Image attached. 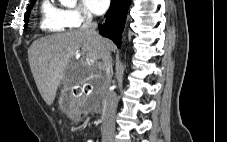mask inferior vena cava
<instances>
[{"mask_svg": "<svg viewBox=\"0 0 227 142\" xmlns=\"http://www.w3.org/2000/svg\"><path fill=\"white\" fill-rule=\"evenodd\" d=\"M97 23L92 21V15L89 12L85 13V22L81 27L86 34L101 39V36L96 31ZM103 64L99 67L103 71L104 77V90H105V104L103 111V129H102V142H113L115 132V114L118 104L117 95L114 91L110 90L111 79L113 76L112 59L110 52L107 50L102 51L101 55Z\"/></svg>", "mask_w": 227, "mask_h": 142, "instance_id": "inferior-vena-cava-1", "label": "inferior vena cava"}]
</instances>
